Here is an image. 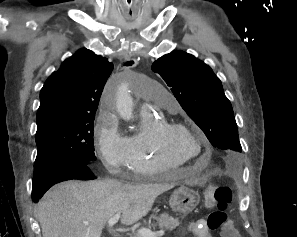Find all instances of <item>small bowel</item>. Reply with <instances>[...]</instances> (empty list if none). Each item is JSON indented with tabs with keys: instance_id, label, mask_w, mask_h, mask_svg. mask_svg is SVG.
I'll return each mask as SVG.
<instances>
[{
	"instance_id": "obj_1",
	"label": "small bowel",
	"mask_w": 297,
	"mask_h": 237,
	"mask_svg": "<svg viewBox=\"0 0 297 237\" xmlns=\"http://www.w3.org/2000/svg\"><path fill=\"white\" fill-rule=\"evenodd\" d=\"M189 231L197 237H212L209 232V227L205 220L198 219L190 223Z\"/></svg>"
}]
</instances>
